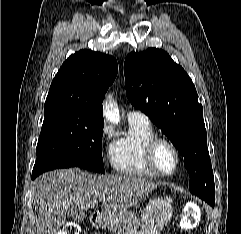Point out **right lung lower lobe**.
<instances>
[{"instance_id": "98d812e1", "label": "right lung lower lobe", "mask_w": 241, "mask_h": 234, "mask_svg": "<svg viewBox=\"0 0 241 234\" xmlns=\"http://www.w3.org/2000/svg\"><path fill=\"white\" fill-rule=\"evenodd\" d=\"M53 166H54V168H52V169H50V170L57 169V168H69V167H73V166H71V165H69V164H66V163L54 164ZM47 171H49V170H47ZM43 172H45V171H33L31 178H32V179H35L38 175H40V174L43 173Z\"/></svg>"}]
</instances>
